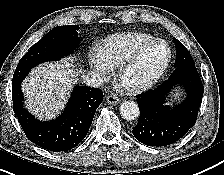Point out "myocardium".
I'll list each match as a JSON object with an SVG mask.
<instances>
[{"mask_svg":"<svg viewBox=\"0 0 224 175\" xmlns=\"http://www.w3.org/2000/svg\"><path fill=\"white\" fill-rule=\"evenodd\" d=\"M156 44H163L166 46L167 49V56L161 65V67L147 80L142 81L140 83L132 84V85H125L123 83V77L125 73L133 66L135 63L140 59L143 53L149 49L150 47ZM172 59V50L169 43L163 39H153L143 45H141L137 50H135L127 59H125L119 66L117 70V79L125 88L126 91L130 93H139L151 88L155 85L158 80L163 76L166 70L169 67V64Z\"/></svg>","mask_w":224,"mask_h":175,"instance_id":"1","label":"myocardium"}]
</instances>
